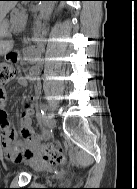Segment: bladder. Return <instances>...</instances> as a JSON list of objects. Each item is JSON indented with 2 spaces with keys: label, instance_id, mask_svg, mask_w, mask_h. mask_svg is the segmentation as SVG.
<instances>
[{
  "label": "bladder",
  "instance_id": "31cf9c89",
  "mask_svg": "<svg viewBox=\"0 0 137 189\" xmlns=\"http://www.w3.org/2000/svg\"><path fill=\"white\" fill-rule=\"evenodd\" d=\"M48 169H49V165L46 164V163L39 162V163H37V165H36V170H37V171L44 172V171H47Z\"/></svg>",
  "mask_w": 137,
  "mask_h": 189
}]
</instances>
